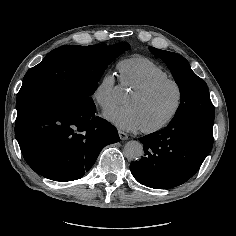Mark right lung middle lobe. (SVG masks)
Here are the masks:
<instances>
[{"mask_svg": "<svg viewBox=\"0 0 236 236\" xmlns=\"http://www.w3.org/2000/svg\"><path fill=\"white\" fill-rule=\"evenodd\" d=\"M128 48V43H118L52 50L24 76L17 95V115L44 103L71 101L93 105L91 95L105 69Z\"/></svg>", "mask_w": 236, "mask_h": 236, "instance_id": "obj_1", "label": "right lung middle lobe"}]
</instances>
